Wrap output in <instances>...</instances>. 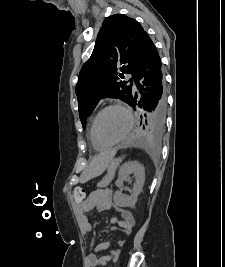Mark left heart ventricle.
Masks as SVG:
<instances>
[{"instance_id":"left-heart-ventricle-1","label":"left heart ventricle","mask_w":225,"mask_h":267,"mask_svg":"<svg viewBox=\"0 0 225 267\" xmlns=\"http://www.w3.org/2000/svg\"><path fill=\"white\" fill-rule=\"evenodd\" d=\"M128 128V118L124 111L111 109L99 121L98 133L105 142L120 139Z\"/></svg>"}]
</instances>
